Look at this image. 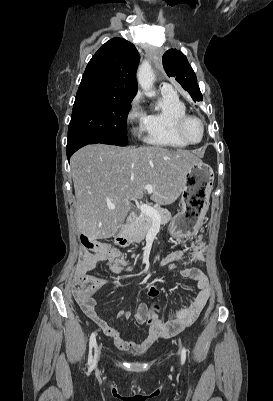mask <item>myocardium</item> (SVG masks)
I'll return each mask as SVG.
<instances>
[{
  "mask_svg": "<svg viewBox=\"0 0 273 401\" xmlns=\"http://www.w3.org/2000/svg\"><path fill=\"white\" fill-rule=\"evenodd\" d=\"M191 119H197L200 122V124L202 125L203 137L198 142L189 141L184 135V128H185L186 124L188 123V121ZM175 133H176L177 137L181 141H183L185 144L190 145V146H196V145L202 144L206 140L207 135H208V129H207L206 122L201 117H199L197 115L186 114L185 116L180 118L175 123Z\"/></svg>",
  "mask_w": 273,
  "mask_h": 401,
  "instance_id": "f54148a6",
  "label": "myocardium"
}]
</instances>
